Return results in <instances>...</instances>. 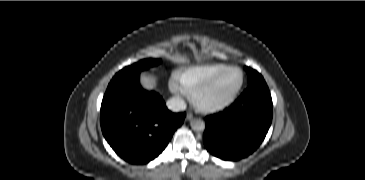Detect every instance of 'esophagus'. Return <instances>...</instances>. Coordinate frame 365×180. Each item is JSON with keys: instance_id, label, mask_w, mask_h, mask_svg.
<instances>
[{"instance_id": "1", "label": "esophagus", "mask_w": 365, "mask_h": 180, "mask_svg": "<svg viewBox=\"0 0 365 180\" xmlns=\"http://www.w3.org/2000/svg\"><path fill=\"white\" fill-rule=\"evenodd\" d=\"M193 118H194V116H193V114H192L191 112H188V113L186 114V120L190 121V120H192Z\"/></svg>"}]
</instances>
